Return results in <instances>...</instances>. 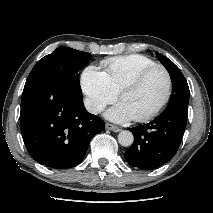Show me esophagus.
Listing matches in <instances>:
<instances>
[{"mask_svg":"<svg viewBox=\"0 0 213 213\" xmlns=\"http://www.w3.org/2000/svg\"><path fill=\"white\" fill-rule=\"evenodd\" d=\"M105 128H106L107 130H112V131H114V132H119V131H121V129H120L118 126H115V125H113V124H111V123H106V124H105Z\"/></svg>","mask_w":213,"mask_h":213,"instance_id":"1","label":"esophagus"}]
</instances>
